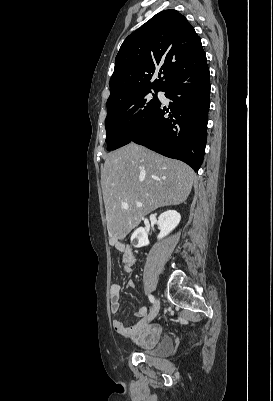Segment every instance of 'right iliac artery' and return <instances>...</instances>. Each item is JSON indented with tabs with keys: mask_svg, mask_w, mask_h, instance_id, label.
I'll return each mask as SVG.
<instances>
[{
	"mask_svg": "<svg viewBox=\"0 0 273 401\" xmlns=\"http://www.w3.org/2000/svg\"><path fill=\"white\" fill-rule=\"evenodd\" d=\"M149 300H150L151 303H154V301H155L154 296L149 295Z\"/></svg>",
	"mask_w": 273,
	"mask_h": 401,
	"instance_id": "right-iliac-artery-1",
	"label": "right iliac artery"
}]
</instances>
